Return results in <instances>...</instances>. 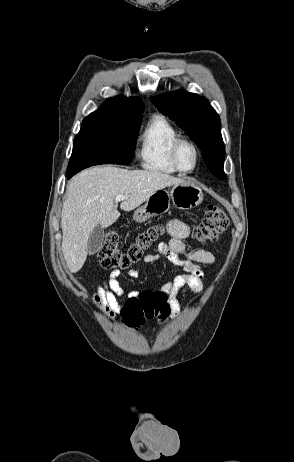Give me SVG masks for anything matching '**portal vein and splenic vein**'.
I'll use <instances>...</instances> for the list:
<instances>
[{
    "instance_id": "18ae733b",
    "label": "portal vein and splenic vein",
    "mask_w": 294,
    "mask_h": 462,
    "mask_svg": "<svg viewBox=\"0 0 294 462\" xmlns=\"http://www.w3.org/2000/svg\"><path fill=\"white\" fill-rule=\"evenodd\" d=\"M127 198H128L127 195H118V196H116V198H115V202L117 203V202H120V201L125 200V199H127Z\"/></svg>"
}]
</instances>
